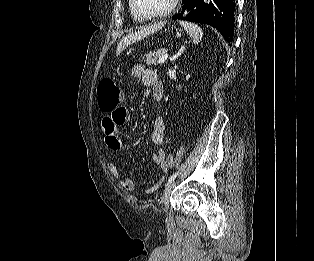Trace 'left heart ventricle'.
Listing matches in <instances>:
<instances>
[{
	"label": "left heart ventricle",
	"mask_w": 314,
	"mask_h": 261,
	"mask_svg": "<svg viewBox=\"0 0 314 261\" xmlns=\"http://www.w3.org/2000/svg\"><path fill=\"white\" fill-rule=\"evenodd\" d=\"M171 0H137L138 6L144 13H156L166 9Z\"/></svg>",
	"instance_id": "left-heart-ventricle-1"
}]
</instances>
